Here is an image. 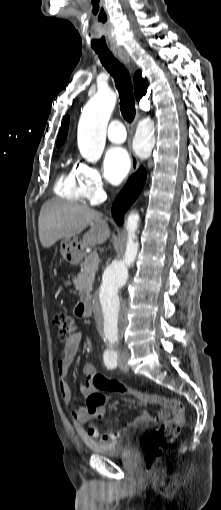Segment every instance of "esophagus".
<instances>
[{"label": "esophagus", "mask_w": 221, "mask_h": 510, "mask_svg": "<svg viewBox=\"0 0 221 510\" xmlns=\"http://www.w3.org/2000/svg\"><path fill=\"white\" fill-rule=\"evenodd\" d=\"M118 57L127 66H130V59H129L128 55L125 52L124 53H118ZM130 156H131V170H132V173H136L138 168H139V161H138L136 155L132 151H130Z\"/></svg>", "instance_id": "1"}]
</instances>
